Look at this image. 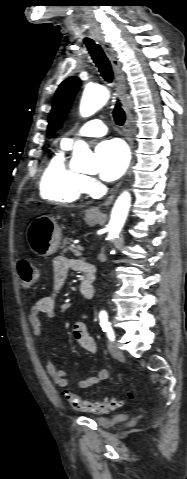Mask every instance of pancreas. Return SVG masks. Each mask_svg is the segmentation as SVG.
<instances>
[{
  "instance_id": "1",
  "label": "pancreas",
  "mask_w": 187,
  "mask_h": 479,
  "mask_svg": "<svg viewBox=\"0 0 187 479\" xmlns=\"http://www.w3.org/2000/svg\"><path fill=\"white\" fill-rule=\"evenodd\" d=\"M72 242H73V238H65L63 240V243H62V246H61V248L63 249V252H67L68 250L74 251V247L72 245ZM75 255L79 256L80 254L76 252Z\"/></svg>"
}]
</instances>
